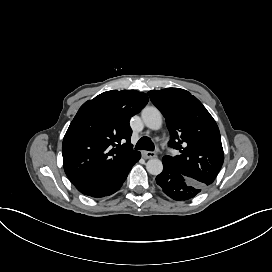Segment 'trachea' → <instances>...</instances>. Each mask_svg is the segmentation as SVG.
I'll use <instances>...</instances> for the list:
<instances>
[{
	"instance_id": "3493384b",
	"label": "trachea",
	"mask_w": 272,
	"mask_h": 272,
	"mask_svg": "<svg viewBox=\"0 0 272 272\" xmlns=\"http://www.w3.org/2000/svg\"><path fill=\"white\" fill-rule=\"evenodd\" d=\"M135 148L138 150L153 151L154 150V143L150 140L149 137H142L137 142Z\"/></svg>"
}]
</instances>
